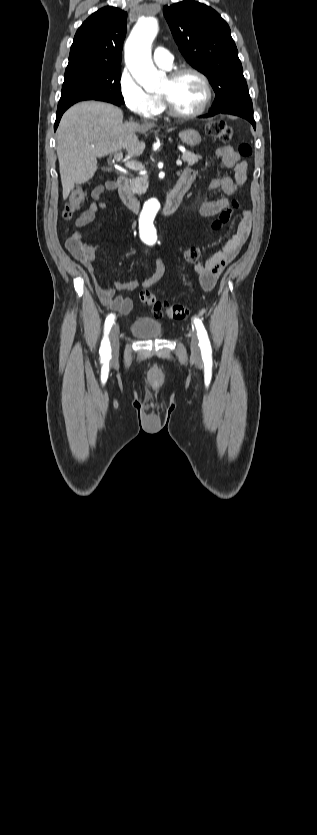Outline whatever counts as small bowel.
Listing matches in <instances>:
<instances>
[{
  "label": "small bowel",
  "mask_w": 317,
  "mask_h": 835,
  "mask_svg": "<svg viewBox=\"0 0 317 835\" xmlns=\"http://www.w3.org/2000/svg\"><path fill=\"white\" fill-rule=\"evenodd\" d=\"M216 157L220 159L224 167L232 170V176L214 178L210 182L208 192L220 191L225 196L214 200H210L205 196L198 208L199 214L203 217H212L224 210L230 204L229 197L237 193L247 178V163L240 161L238 154L231 145L219 147L216 151ZM197 175L198 173L195 169L186 168L180 180L187 184L188 187H191L195 183ZM111 182L98 185L93 189L91 192L93 201L76 220V229L67 240L66 245L70 252L74 254L89 272L101 303L110 310L120 314H128L133 308V300L131 297L117 294V292L134 291L138 288L148 289L155 285L164 274V265L161 260L156 261L155 271L148 277H141L127 282L113 281L111 286H105L100 281L95 268V250L88 248L82 253H79L75 249V246L80 243L83 229L94 222L100 209L107 208V204L101 200V197L106 191L115 190ZM250 230L251 216L245 211L236 233L226 243L223 249L217 251L205 261L193 263V269L199 276V281L203 289L211 290L213 288L220 274L232 262L245 244Z\"/></svg>",
  "instance_id": "1"
}]
</instances>
